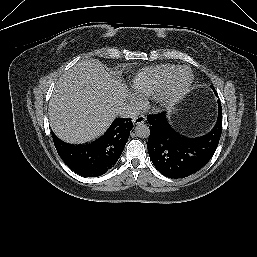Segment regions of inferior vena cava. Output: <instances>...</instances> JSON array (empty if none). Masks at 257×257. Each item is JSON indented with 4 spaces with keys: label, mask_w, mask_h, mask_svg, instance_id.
<instances>
[{
    "label": "inferior vena cava",
    "mask_w": 257,
    "mask_h": 257,
    "mask_svg": "<svg viewBox=\"0 0 257 257\" xmlns=\"http://www.w3.org/2000/svg\"><path fill=\"white\" fill-rule=\"evenodd\" d=\"M118 115L123 118H136L139 115L138 108L130 103H123L118 109Z\"/></svg>",
    "instance_id": "1"
}]
</instances>
